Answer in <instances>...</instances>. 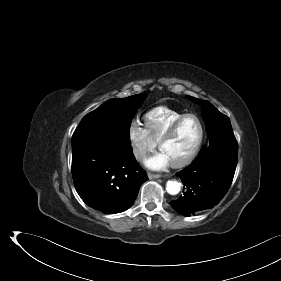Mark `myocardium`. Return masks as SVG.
Wrapping results in <instances>:
<instances>
[{"label": "myocardium", "instance_id": "f54148a6", "mask_svg": "<svg viewBox=\"0 0 281 281\" xmlns=\"http://www.w3.org/2000/svg\"><path fill=\"white\" fill-rule=\"evenodd\" d=\"M189 117L195 118L199 124V128H200L199 138H198L197 143L194 146V148L185 157H183L182 159H180L178 161L172 162L173 167L179 168V167L188 165L189 163H191L194 160V158L199 153V151L202 147V144H203L204 133H205L204 125H203L201 118L197 114H194V113L183 114L170 125V127L167 129V131L163 134V136L161 137V139L158 142L159 149L161 150L162 147L164 146V144L167 143L174 136V134L176 133V131L179 128V126L181 125V123Z\"/></svg>", "mask_w": 281, "mask_h": 281}]
</instances>
